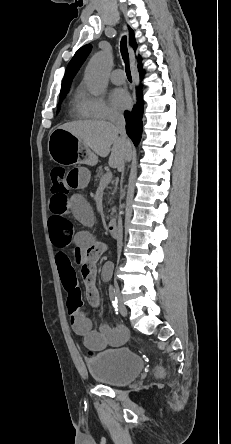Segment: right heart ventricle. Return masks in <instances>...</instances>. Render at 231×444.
Wrapping results in <instances>:
<instances>
[{
	"label": "right heart ventricle",
	"instance_id": "1",
	"mask_svg": "<svg viewBox=\"0 0 231 444\" xmlns=\"http://www.w3.org/2000/svg\"><path fill=\"white\" fill-rule=\"evenodd\" d=\"M74 112L76 114L77 117L80 118H87L86 115L82 112L81 107H80V98H76L75 100V107H74Z\"/></svg>",
	"mask_w": 231,
	"mask_h": 444
}]
</instances>
